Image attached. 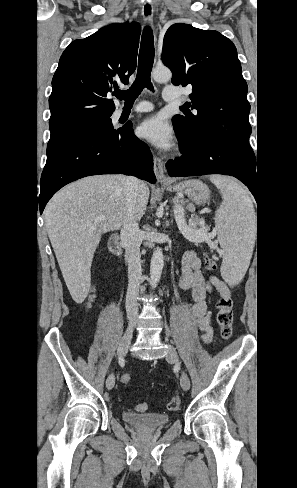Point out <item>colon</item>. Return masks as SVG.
I'll return each instance as SVG.
<instances>
[{"label": "colon", "instance_id": "1", "mask_svg": "<svg viewBox=\"0 0 297 488\" xmlns=\"http://www.w3.org/2000/svg\"><path fill=\"white\" fill-rule=\"evenodd\" d=\"M204 266L208 271H216L218 266L214 258L209 255L204 257ZM218 315L217 322L219 326V333L223 340H229L233 333V311L232 301L230 298L221 297L217 303ZM121 384L126 385L130 381V372L123 370L121 372ZM180 407V398L178 395L173 396L169 403L168 409L175 411ZM148 408L147 403H140L136 406L138 412H144Z\"/></svg>", "mask_w": 297, "mask_h": 488}]
</instances>
